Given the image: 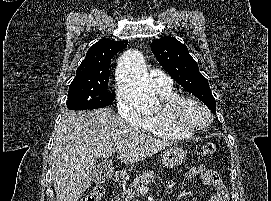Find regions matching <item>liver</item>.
<instances>
[{
    "mask_svg": "<svg viewBox=\"0 0 271 201\" xmlns=\"http://www.w3.org/2000/svg\"><path fill=\"white\" fill-rule=\"evenodd\" d=\"M51 171L56 201H78L91 186L97 159L117 158L134 164L174 144L128 125L110 108L66 111L55 129ZM121 147V149H118Z\"/></svg>",
    "mask_w": 271,
    "mask_h": 201,
    "instance_id": "6515ba94",
    "label": "liver"
}]
</instances>
